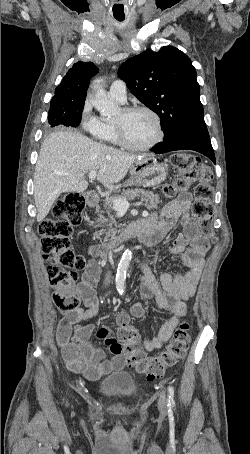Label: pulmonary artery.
<instances>
[{
	"mask_svg": "<svg viewBox=\"0 0 250 454\" xmlns=\"http://www.w3.org/2000/svg\"><path fill=\"white\" fill-rule=\"evenodd\" d=\"M109 94L113 99L121 103L125 102L127 98L125 83L122 80H115L109 88Z\"/></svg>",
	"mask_w": 250,
	"mask_h": 454,
	"instance_id": "pulmonary-artery-1",
	"label": "pulmonary artery"
}]
</instances>
